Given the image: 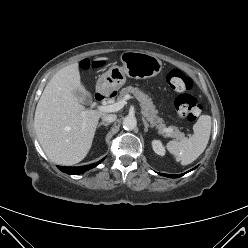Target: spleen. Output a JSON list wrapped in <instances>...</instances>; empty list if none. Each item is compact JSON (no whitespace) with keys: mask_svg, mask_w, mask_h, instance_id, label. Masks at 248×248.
<instances>
[{"mask_svg":"<svg viewBox=\"0 0 248 248\" xmlns=\"http://www.w3.org/2000/svg\"><path fill=\"white\" fill-rule=\"evenodd\" d=\"M211 117L201 115L193 126L194 133L190 138H182L180 141H169L168 151L180 161L182 165H188L195 161L206 149L211 133Z\"/></svg>","mask_w":248,"mask_h":248,"instance_id":"1","label":"spleen"}]
</instances>
